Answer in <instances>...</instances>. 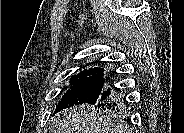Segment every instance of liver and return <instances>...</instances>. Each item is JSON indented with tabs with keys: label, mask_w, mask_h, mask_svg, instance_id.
<instances>
[{
	"label": "liver",
	"mask_w": 184,
	"mask_h": 133,
	"mask_svg": "<svg viewBox=\"0 0 184 133\" xmlns=\"http://www.w3.org/2000/svg\"><path fill=\"white\" fill-rule=\"evenodd\" d=\"M54 133H122L110 117L89 105L62 110L52 119Z\"/></svg>",
	"instance_id": "obj_1"
}]
</instances>
